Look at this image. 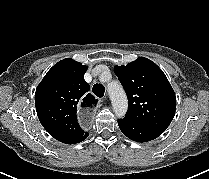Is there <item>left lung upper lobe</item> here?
I'll return each mask as SVG.
<instances>
[{
    "instance_id": "left-lung-upper-lobe-1",
    "label": "left lung upper lobe",
    "mask_w": 209,
    "mask_h": 179,
    "mask_svg": "<svg viewBox=\"0 0 209 179\" xmlns=\"http://www.w3.org/2000/svg\"><path fill=\"white\" fill-rule=\"evenodd\" d=\"M114 71L128 97L125 118L164 132L175 115L176 96L163 71L145 57Z\"/></svg>"
}]
</instances>
